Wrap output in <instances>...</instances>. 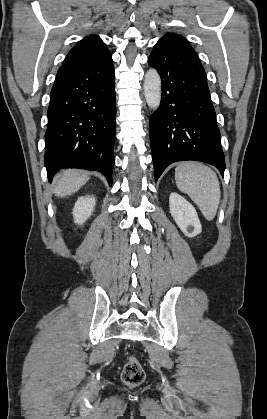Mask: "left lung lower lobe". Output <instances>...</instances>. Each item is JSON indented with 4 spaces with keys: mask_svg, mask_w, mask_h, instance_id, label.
Instances as JSON below:
<instances>
[{
    "mask_svg": "<svg viewBox=\"0 0 267 419\" xmlns=\"http://www.w3.org/2000/svg\"><path fill=\"white\" fill-rule=\"evenodd\" d=\"M148 63L162 83L161 104L149 123L155 180L171 163L183 160L209 163L223 175L220 132L198 55L180 45L157 42Z\"/></svg>",
    "mask_w": 267,
    "mask_h": 419,
    "instance_id": "obj_1",
    "label": "left lung lower lobe"
}]
</instances>
